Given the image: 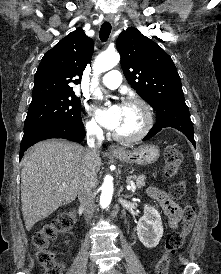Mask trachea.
Instances as JSON below:
<instances>
[{"instance_id":"1","label":"trachea","mask_w":221,"mask_h":274,"mask_svg":"<svg viewBox=\"0 0 221 274\" xmlns=\"http://www.w3.org/2000/svg\"><path fill=\"white\" fill-rule=\"evenodd\" d=\"M111 24L109 22H104L101 26V29H100V40L102 42H105L107 41L109 35H110V32H111Z\"/></svg>"}]
</instances>
